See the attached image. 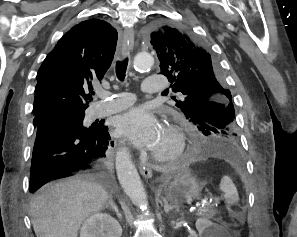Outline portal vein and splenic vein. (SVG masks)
<instances>
[{"instance_id":"portal-vein-and-splenic-vein-1","label":"portal vein and splenic vein","mask_w":297,"mask_h":237,"mask_svg":"<svg viewBox=\"0 0 297 237\" xmlns=\"http://www.w3.org/2000/svg\"><path fill=\"white\" fill-rule=\"evenodd\" d=\"M204 203H205V202H199V203H197V204H196L197 209H199V208H201V207H204Z\"/></svg>"}]
</instances>
